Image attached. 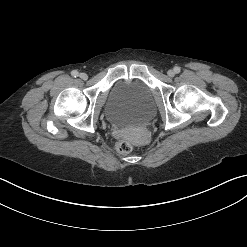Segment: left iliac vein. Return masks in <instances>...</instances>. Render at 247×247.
<instances>
[{
    "label": "left iliac vein",
    "mask_w": 247,
    "mask_h": 247,
    "mask_svg": "<svg viewBox=\"0 0 247 247\" xmlns=\"http://www.w3.org/2000/svg\"><path fill=\"white\" fill-rule=\"evenodd\" d=\"M168 76L173 77L174 76V71L173 70H169L168 71Z\"/></svg>",
    "instance_id": "obj_1"
}]
</instances>
